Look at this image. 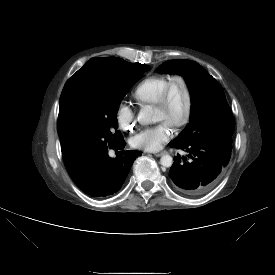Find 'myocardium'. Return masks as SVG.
I'll use <instances>...</instances> for the list:
<instances>
[{
  "label": "myocardium",
  "mask_w": 275,
  "mask_h": 275,
  "mask_svg": "<svg viewBox=\"0 0 275 275\" xmlns=\"http://www.w3.org/2000/svg\"><path fill=\"white\" fill-rule=\"evenodd\" d=\"M176 81L182 82V84L185 88V91H186V95H187V102H186L184 113L172 125L175 128H180V127L186 125L190 121L191 116L193 114V110H194L193 89L189 83L188 78L185 75H183L181 73H176V74L172 75L169 78L167 84L165 85L157 102L154 105H155V108H159V109H164L169 106L171 94H172V91H173Z\"/></svg>",
  "instance_id": "obj_1"
}]
</instances>
